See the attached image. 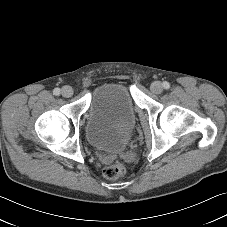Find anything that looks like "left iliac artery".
I'll return each mask as SVG.
<instances>
[{
  "label": "left iliac artery",
  "instance_id": "1",
  "mask_svg": "<svg viewBox=\"0 0 227 227\" xmlns=\"http://www.w3.org/2000/svg\"><path fill=\"white\" fill-rule=\"evenodd\" d=\"M163 87L165 88V89H169L170 88V84L168 83V82H163Z\"/></svg>",
  "mask_w": 227,
  "mask_h": 227
}]
</instances>
